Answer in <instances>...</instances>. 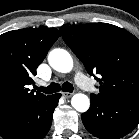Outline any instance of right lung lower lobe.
<instances>
[{"label":"right lung lower lobe","mask_w":139,"mask_h":139,"mask_svg":"<svg viewBox=\"0 0 139 139\" xmlns=\"http://www.w3.org/2000/svg\"><path fill=\"white\" fill-rule=\"evenodd\" d=\"M60 97L61 94L50 95L33 108L0 120V136L4 139H43L50 129Z\"/></svg>","instance_id":"98d812e1"}]
</instances>
